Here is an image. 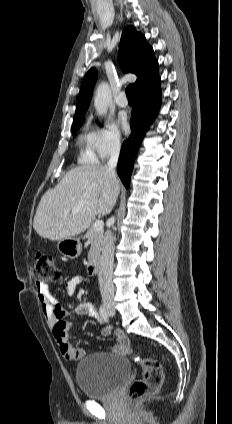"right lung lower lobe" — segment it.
<instances>
[{
	"label": "right lung lower lobe",
	"mask_w": 232,
	"mask_h": 424,
	"mask_svg": "<svg viewBox=\"0 0 232 424\" xmlns=\"http://www.w3.org/2000/svg\"><path fill=\"white\" fill-rule=\"evenodd\" d=\"M161 102L160 78L148 87L136 91L135 106L132 109L130 126L131 135L122 144L118 160V175L126 188L130 183L134 159L143 140L145 132L156 117Z\"/></svg>",
	"instance_id": "obj_1"
}]
</instances>
